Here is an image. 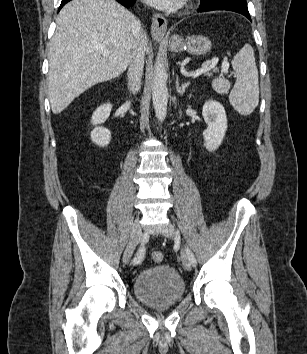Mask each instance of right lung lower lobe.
I'll list each match as a JSON object with an SVG mask.
<instances>
[{"instance_id": "1", "label": "right lung lower lobe", "mask_w": 307, "mask_h": 354, "mask_svg": "<svg viewBox=\"0 0 307 354\" xmlns=\"http://www.w3.org/2000/svg\"><path fill=\"white\" fill-rule=\"evenodd\" d=\"M70 0H62L61 5H60V9ZM119 3H121L123 6L125 7H131L132 5H134L136 0H116Z\"/></svg>"}]
</instances>
